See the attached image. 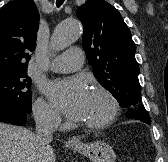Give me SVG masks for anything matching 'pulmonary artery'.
<instances>
[{
	"instance_id": "obj_1",
	"label": "pulmonary artery",
	"mask_w": 168,
	"mask_h": 162,
	"mask_svg": "<svg viewBox=\"0 0 168 162\" xmlns=\"http://www.w3.org/2000/svg\"><path fill=\"white\" fill-rule=\"evenodd\" d=\"M84 53L81 48L73 47L57 56L50 64V68L57 72H73L82 67Z\"/></svg>"
}]
</instances>
